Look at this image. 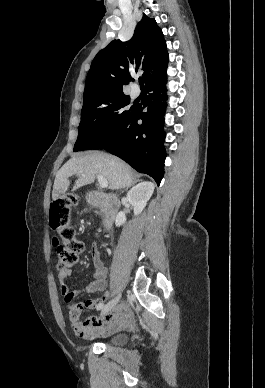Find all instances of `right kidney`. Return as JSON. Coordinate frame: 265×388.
Returning a JSON list of instances; mask_svg holds the SVG:
<instances>
[{
	"mask_svg": "<svg viewBox=\"0 0 265 388\" xmlns=\"http://www.w3.org/2000/svg\"><path fill=\"white\" fill-rule=\"evenodd\" d=\"M154 192V184L152 182H140L134 188H131L127 194V200L129 204H132L134 208V216H138L143 212L148 200H150ZM126 222V216L124 212H119L116 216V226H123Z\"/></svg>",
	"mask_w": 265,
	"mask_h": 388,
	"instance_id": "1",
	"label": "right kidney"
}]
</instances>
